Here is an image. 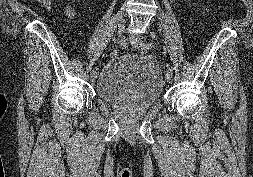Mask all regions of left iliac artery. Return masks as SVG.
I'll return each mask as SVG.
<instances>
[{
    "instance_id": "left-iliac-artery-1",
    "label": "left iliac artery",
    "mask_w": 253,
    "mask_h": 177,
    "mask_svg": "<svg viewBox=\"0 0 253 177\" xmlns=\"http://www.w3.org/2000/svg\"><path fill=\"white\" fill-rule=\"evenodd\" d=\"M154 42H139V47L144 50H149L154 47ZM166 73L173 74V69L171 67H168L166 70Z\"/></svg>"
}]
</instances>
